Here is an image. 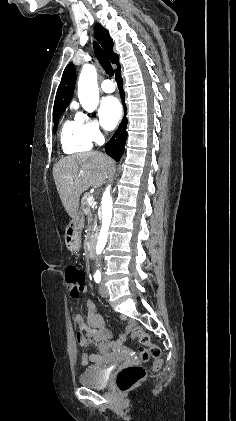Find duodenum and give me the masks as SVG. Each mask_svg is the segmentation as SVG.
<instances>
[{
  "mask_svg": "<svg viewBox=\"0 0 236 421\" xmlns=\"http://www.w3.org/2000/svg\"><path fill=\"white\" fill-rule=\"evenodd\" d=\"M97 242V234L93 233L89 239L88 244V251L91 258L95 255V247ZM86 331L87 336H95L96 340H100L103 336V329H89L85 326V324L80 326V330L78 332V338L81 345H87L89 340L85 338L84 332ZM124 341V337L121 338L120 343ZM112 346L111 343H103L100 345L99 354H94L91 356L92 361L97 363H107L112 362L115 359V355L109 353V348Z\"/></svg>",
  "mask_w": 236,
  "mask_h": 421,
  "instance_id": "1",
  "label": "duodenum"
}]
</instances>
